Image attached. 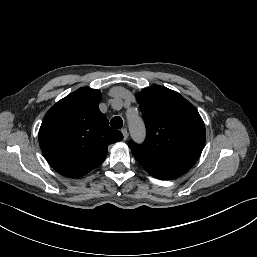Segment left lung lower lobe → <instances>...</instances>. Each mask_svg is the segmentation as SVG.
Wrapping results in <instances>:
<instances>
[{
    "mask_svg": "<svg viewBox=\"0 0 257 257\" xmlns=\"http://www.w3.org/2000/svg\"><path fill=\"white\" fill-rule=\"evenodd\" d=\"M144 169L153 177L161 180L174 179L186 172L183 170H160V169H153V168H144Z\"/></svg>",
    "mask_w": 257,
    "mask_h": 257,
    "instance_id": "1",
    "label": "left lung lower lobe"
}]
</instances>
